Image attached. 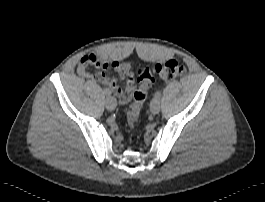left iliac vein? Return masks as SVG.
<instances>
[{"label": "left iliac vein", "mask_w": 265, "mask_h": 202, "mask_svg": "<svg viewBox=\"0 0 265 202\" xmlns=\"http://www.w3.org/2000/svg\"><path fill=\"white\" fill-rule=\"evenodd\" d=\"M161 105L160 100L157 98H154L150 103V110L153 114H158L160 112Z\"/></svg>", "instance_id": "left-iliac-vein-1"}]
</instances>
